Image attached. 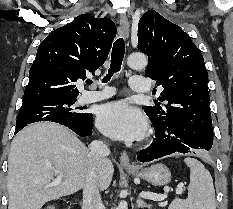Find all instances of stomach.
Instances as JSON below:
<instances>
[{"label": "stomach", "mask_w": 233, "mask_h": 209, "mask_svg": "<svg viewBox=\"0 0 233 209\" xmlns=\"http://www.w3.org/2000/svg\"><path fill=\"white\" fill-rule=\"evenodd\" d=\"M127 170L134 176L142 178L155 186H163L171 181V172L163 164H154L140 171Z\"/></svg>", "instance_id": "stomach-1"}]
</instances>
